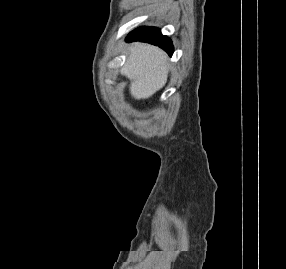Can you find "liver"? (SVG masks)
I'll list each match as a JSON object with an SVG mask.
<instances>
[{
	"label": "liver",
	"mask_w": 286,
	"mask_h": 269,
	"mask_svg": "<svg viewBox=\"0 0 286 269\" xmlns=\"http://www.w3.org/2000/svg\"><path fill=\"white\" fill-rule=\"evenodd\" d=\"M167 57L152 45L134 43L121 68V74L131 80L130 93L135 99H146L160 90L167 81Z\"/></svg>",
	"instance_id": "1"
}]
</instances>
